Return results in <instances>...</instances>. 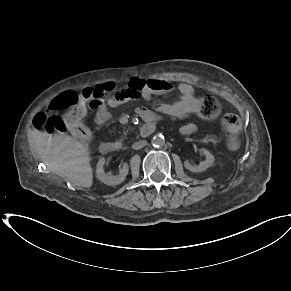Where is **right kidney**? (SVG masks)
I'll return each instance as SVG.
<instances>
[{"label": "right kidney", "instance_id": "right-kidney-1", "mask_svg": "<svg viewBox=\"0 0 291 291\" xmlns=\"http://www.w3.org/2000/svg\"><path fill=\"white\" fill-rule=\"evenodd\" d=\"M105 158L101 157L97 163L96 167V177L104 184L115 186L120 183H122L129 172V167L127 163H124L122 168L119 170V175H112L111 173H105L104 171V164H105Z\"/></svg>", "mask_w": 291, "mask_h": 291}]
</instances>
